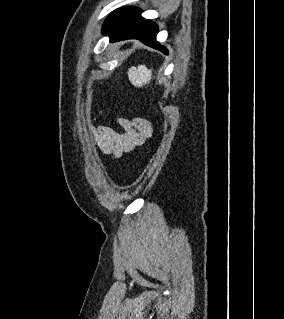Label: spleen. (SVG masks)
Instances as JSON below:
<instances>
[{
	"instance_id": "3e777b00",
	"label": "spleen",
	"mask_w": 284,
	"mask_h": 319,
	"mask_svg": "<svg viewBox=\"0 0 284 319\" xmlns=\"http://www.w3.org/2000/svg\"><path fill=\"white\" fill-rule=\"evenodd\" d=\"M128 78L132 85L142 87L150 83L152 79V69H148L145 65H138V67H130L128 70Z\"/></svg>"
}]
</instances>
